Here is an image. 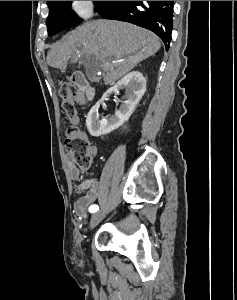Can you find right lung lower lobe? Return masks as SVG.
<instances>
[{
    "label": "right lung lower lobe",
    "mask_w": 237,
    "mask_h": 300,
    "mask_svg": "<svg viewBox=\"0 0 237 300\" xmlns=\"http://www.w3.org/2000/svg\"><path fill=\"white\" fill-rule=\"evenodd\" d=\"M98 11L105 19L126 21L153 31L169 49L173 1H104Z\"/></svg>",
    "instance_id": "right-lung-lower-lobe-1"
}]
</instances>
